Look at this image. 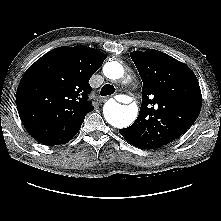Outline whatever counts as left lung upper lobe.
I'll return each instance as SVG.
<instances>
[{"instance_id": "left-lung-upper-lobe-1", "label": "left lung upper lobe", "mask_w": 221, "mask_h": 221, "mask_svg": "<svg viewBox=\"0 0 221 221\" xmlns=\"http://www.w3.org/2000/svg\"><path fill=\"white\" fill-rule=\"evenodd\" d=\"M130 56L141 79L142 105L128 127L132 145L154 149L180 137L196 121L202 95L193 71L173 57L154 50L134 51Z\"/></svg>"}]
</instances>
